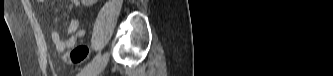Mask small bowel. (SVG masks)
I'll return each mask as SVG.
<instances>
[{"mask_svg": "<svg viewBox=\"0 0 333 76\" xmlns=\"http://www.w3.org/2000/svg\"><path fill=\"white\" fill-rule=\"evenodd\" d=\"M72 3L78 7L81 3L79 0H72ZM68 38L64 39L59 31L52 32V41L59 52H64L73 47L77 40L85 35V31L80 28L79 21L76 17L72 18L67 28Z\"/></svg>", "mask_w": 333, "mask_h": 76, "instance_id": "c3829d8e", "label": "small bowel"}]
</instances>
